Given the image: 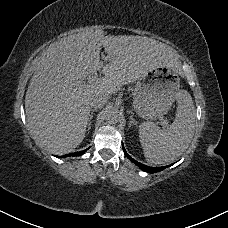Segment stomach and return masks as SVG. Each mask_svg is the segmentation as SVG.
Listing matches in <instances>:
<instances>
[{
    "label": "stomach",
    "instance_id": "1",
    "mask_svg": "<svg viewBox=\"0 0 228 228\" xmlns=\"http://www.w3.org/2000/svg\"><path fill=\"white\" fill-rule=\"evenodd\" d=\"M179 92L180 77L178 72L160 66L137 79L133 107L144 119H160L170 110Z\"/></svg>",
    "mask_w": 228,
    "mask_h": 228
}]
</instances>
